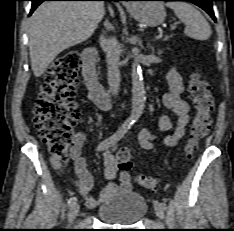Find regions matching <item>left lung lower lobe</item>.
Returning a JSON list of instances; mask_svg holds the SVG:
<instances>
[{
  "label": "left lung lower lobe",
  "instance_id": "1",
  "mask_svg": "<svg viewBox=\"0 0 234 231\" xmlns=\"http://www.w3.org/2000/svg\"><path fill=\"white\" fill-rule=\"evenodd\" d=\"M160 1H189L205 10L216 22V18L213 13L212 1L216 0H160Z\"/></svg>",
  "mask_w": 234,
  "mask_h": 231
}]
</instances>
